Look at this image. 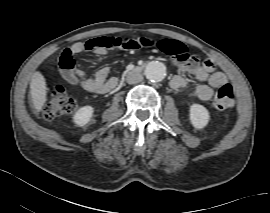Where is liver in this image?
<instances>
[{"mask_svg": "<svg viewBox=\"0 0 270 213\" xmlns=\"http://www.w3.org/2000/svg\"><path fill=\"white\" fill-rule=\"evenodd\" d=\"M47 84L44 76L40 72H35L30 82V94L33 105L37 112H40L47 101Z\"/></svg>", "mask_w": 270, "mask_h": 213, "instance_id": "6515ba94", "label": "liver"}]
</instances>
